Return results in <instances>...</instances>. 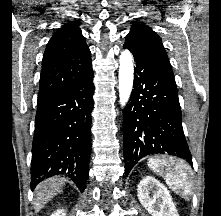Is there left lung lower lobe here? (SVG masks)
<instances>
[{
    "instance_id": "1",
    "label": "left lung lower lobe",
    "mask_w": 221,
    "mask_h": 216,
    "mask_svg": "<svg viewBox=\"0 0 221 216\" xmlns=\"http://www.w3.org/2000/svg\"><path fill=\"white\" fill-rule=\"evenodd\" d=\"M135 59L134 85L123 110L125 174L142 157L170 154L192 165L181 118L178 91L171 67L127 44Z\"/></svg>"
}]
</instances>
